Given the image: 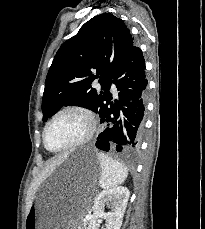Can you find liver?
Here are the masks:
<instances>
[{
    "label": "liver",
    "mask_w": 205,
    "mask_h": 229,
    "mask_svg": "<svg viewBox=\"0 0 205 229\" xmlns=\"http://www.w3.org/2000/svg\"><path fill=\"white\" fill-rule=\"evenodd\" d=\"M67 157V154H64L62 156H58L56 157L54 160H51L49 162L46 163V166L44 168V171L42 172L41 175H39L36 179H35V183L39 182L42 180V178L48 176L51 172H53L55 170V168L57 166H59L63 160ZM32 203L31 201L27 204V211H29L30 207H31Z\"/></svg>",
    "instance_id": "1"
}]
</instances>
